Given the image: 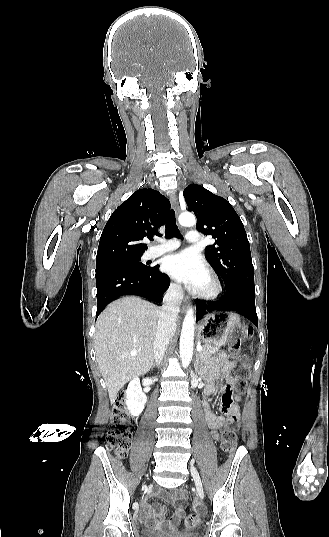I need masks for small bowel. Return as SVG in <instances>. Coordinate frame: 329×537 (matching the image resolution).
I'll use <instances>...</instances> for the list:
<instances>
[{
	"label": "small bowel",
	"instance_id": "small-bowel-1",
	"mask_svg": "<svg viewBox=\"0 0 329 537\" xmlns=\"http://www.w3.org/2000/svg\"><path fill=\"white\" fill-rule=\"evenodd\" d=\"M234 368L235 364L225 354H220L210 366L208 384L204 389V410L207 424L215 439H218V430L226 422V418L212 412L208 398L216 392L217 388L223 394L230 392L235 383V378L232 375ZM215 383H217V387ZM222 410L229 416L227 421H238L239 406L237 403L227 405L223 402ZM158 495L174 506V513L170 519H166L167 510L165 507L145 502L142 521L156 531L173 532L180 526L185 516V492L182 489H175L172 493L160 491Z\"/></svg>",
	"mask_w": 329,
	"mask_h": 537
}]
</instances>
